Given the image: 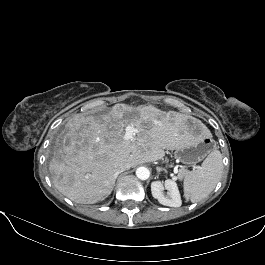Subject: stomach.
Masks as SVG:
<instances>
[{"label":"stomach","instance_id":"stomach-1","mask_svg":"<svg viewBox=\"0 0 265 265\" xmlns=\"http://www.w3.org/2000/svg\"><path fill=\"white\" fill-rule=\"evenodd\" d=\"M194 138L184 147L176 149L175 157L180 162L193 165L200 162L212 149V142L206 136L193 135Z\"/></svg>","mask_w":265,"mask_h":265}]
</instances>
